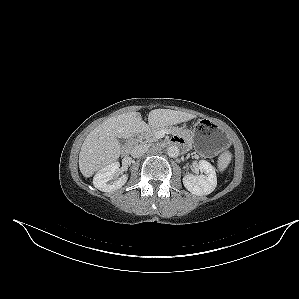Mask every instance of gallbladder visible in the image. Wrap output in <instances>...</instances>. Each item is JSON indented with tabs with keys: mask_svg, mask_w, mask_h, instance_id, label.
<instances>
[{
	"mask_svg": "<svg viewBox=\"0 0 299 299\" xmlns=\"http://www.w3.org/2000/svg\"><path fill=\"white\" fill-rule=\"evenodd\" d=\"M118 140H119V142H120L121 145H124V144H125V139L120 138V139H118Z\"/></svg>",
	"mask_w": 299,
	"mask_h": 299,
	"instance_id": "gallbladder-1",
	"label": "gallbladder"
}]
</instances>
